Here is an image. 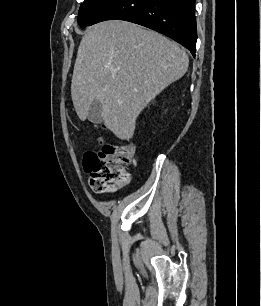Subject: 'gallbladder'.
Returning <instances> with one entry per match:
<instances>
[{"label": "gallbladder", "mask_w": 261, "mask_h": 306, "mask_svg": "<svg viewBox=\"0 0 261 306\" xmlns=\"http://www.w3.org/2000/svg\"><path fill=\"white\" fill-rule=\"evenodd\" d=\"M88 120L94 124L102 121V105L99 100H94L89 108Z\"/></svg>", "instance_id": "gallbladder-1"}]
</instances>
